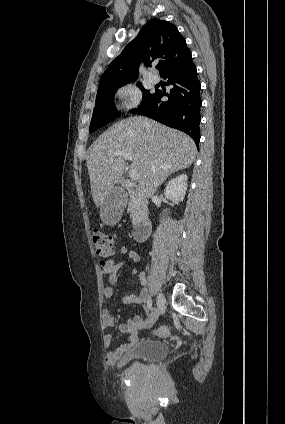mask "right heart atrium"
Segmentation results:
<instances>
[{"instance_id": "1", "label": "right heart atrium", "mask_w": 285, "mask_h": 424, "mask_svg": "<svg viewBox=\"0 0 285 424\" xmlns=\"http://www.w3.org/2000/svg\"><path fill=\"white\" fill-rule=\"evenodd\" d=\"M117 105L122 111L137 107L141 101V91L133 83L121 85L116 91Z\"/></svg>"}]
</instances>
